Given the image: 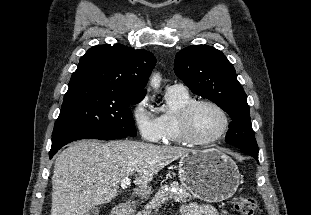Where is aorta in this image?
<instances>
[{"label": "aorta", "instance_id": "obj_1", "mask_svg": "<svg viewBox=\"0 0 311 215\" xmlns=\"http://www.w3.org/2000/svg\"><path fill=\"white\" fill-rule=\"evenodd\" d=\"M161 77L159 73H155L150 78V84L154 89H158L160 86Z\"/></svg>", "mask_w": 311, "mask_h": 215}]
</instances>
